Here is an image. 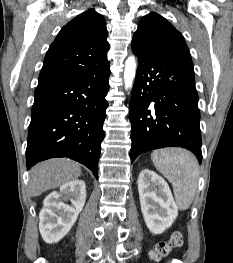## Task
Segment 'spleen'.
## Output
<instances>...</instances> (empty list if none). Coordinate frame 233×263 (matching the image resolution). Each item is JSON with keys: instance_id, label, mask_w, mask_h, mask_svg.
I'll use <instances>...</instances> for the list:
<instances>
[{"instance_id": "1", "label": "spleen", "mask_w": 233, "mask_h": 263, "mask_svg": "<svg viewBox=\"0 0 233 263\" xmlns=\"http://www.w3.org/2000/svg\"><path fill=\"white\" fill-rule=\"evenodd\" d=\"M151 159L156 169L172 184L179 209H188L195 197L199 178L196 157L182 148H165L153 151Z\"/></svg>"}]
</instances>
